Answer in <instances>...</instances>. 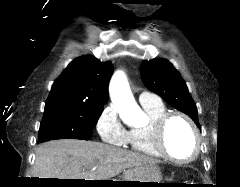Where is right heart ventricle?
Returning <instances> with one entry per match:
<instances>
[{
  "instance_id": "e07e8e85",
  "label": "right heart ventricle",
  "mask_w": 240,
  "mask_h": 187,
  "mask_svg": "<svg viewBox=\"0 0 240 187\" xmlns=\"http://www.w3.org/2000/svg\"><path fill=\"white\" fill-rule=\"evenodd\" d=\"M148 115V122L145 125L133 127L127 133L128 147L137 153L160 157L153 145L152 126L154 122L167 112L165 105L162 102L156 104L142 105Z\"/></svg>"
}]
</instances>
